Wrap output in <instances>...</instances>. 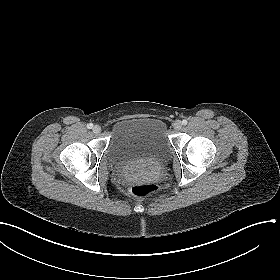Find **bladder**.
Returning <instances> with one entry per match:
<instances>
[{
    "label": "bladder",
    "mask_w": 280,
    "mask_h": 280,
    "mask_svg": "<svg viewBox=\"0 0 280 280\" xmlns=\"http://www.w3.org/2000/svg\"><path fill=\"white\" fill-rule=\"evenodd\" d=\"M170 151L166 125L158 118H130L118 121L112 130L108 158L115 164L140 159L162 161Z\"/></svg>",
    "instance_id": "1"
}]
</instances>
